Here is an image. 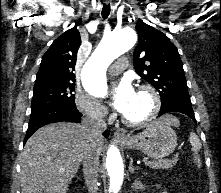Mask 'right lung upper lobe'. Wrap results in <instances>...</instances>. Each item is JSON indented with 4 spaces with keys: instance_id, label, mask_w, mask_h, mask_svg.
Listing matches in <instances>:
<instances>
[{
    "instance_id": "right-lung-upper-lobe-1",
    "label": "right lung upper lobe",
    "mask_w": 221,
    "mask_h": 193,
    "mask_svg": "<svg viewBox=\"0 0 221 193\" xmlns=\"http://www.w3.org/2000/svg\"><path fill=\"white\" fill-rule=\"evenodd\" d=\"M81 38L76 26L58 37L42 57L36 84L75 82L73 73Z\"/></svg>"
}]
</instances>
